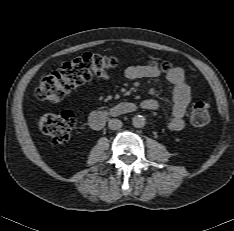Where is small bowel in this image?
<instances>
[{
  "label": "small bowel",
  "instance_id": "1",
  "mask_svg": "<svg viewBox=\"0 0 234 231\" xmlns=\"http://www.w3.org/2000/svg\"><path fill=\"white\" fill-rule=\"evenodd\" d=\"M160 71L149 65H132L126 68L125 76L130 80L142 78H156ZM107 79V76H103ZM167 79L172 85L173 103L171 114L167 120V127L172 132H178L184 127V115L191 101V90L185 79L184 70L181 67H173L167 74ZM141 108L146 110H155L163 103L155 99H145L140 103Z\"/></svg>",
  "mask_w": 234,
  "mask_h": 231
}]
</instances>
